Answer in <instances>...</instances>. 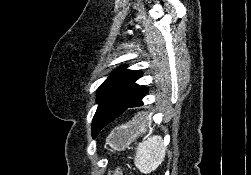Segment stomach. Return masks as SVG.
I'll list each match as a JSON object with an SVG mask.
<instances>
[{"label":"stomach","mask_w":251,"mask_h":175,"mask_svg":"<svg viewBox=\"0 0 251 175\" xmlns=\"http://www.w3.org/2000/svg\"><path fill=\"white\" fill-rule=\"evenodd\" d=\"M147 121V115H144V117H142V115H135L132 121L121 123V125H117V127L111 129L106 143H108L114 151H124L136 137L143 135L146 131L151 133V129H148L149 123H147Z\"/></svg>","instance_id":"stomach-1"}]
</instances>
